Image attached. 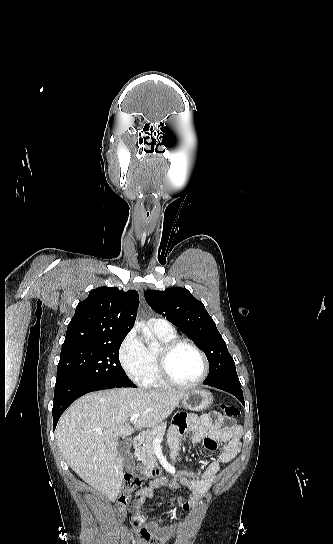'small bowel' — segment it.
<instances>
[{
	"instance_id": "1",
	"label": "small bowel",
	"mask_w": 333,
	"mask_h": 544,
	"mask_svg": "<svg viewBox=\"0 0 333 544\" xmlns=\"http://www.w3.org/2000/svg\"><path fill=\"white\" fill-rule=\"evenodd\" d=\"M225 422H229L225 425ZM189 434L192 443L204 441L206 450L215 452L218 444L224 446L207 467L197 472L179 471L171 480L174 488L184 486L190 491V498L177 497L173 503L184 510L195 505L197 498L205 493L215 483L221 472L222 465L233 460L240 450L242 430L230 418L223 417L218 412L201 416L186 415L174 420L169 431V447L174 459L184 437ZM165 483V479H156L149 486L140 489L131 508V524L144 544H169L173 539L183 534V526L176 524L157 533H153L147 526V515L144 504L153 491Z\"/></svg>"
}]
</instances>
